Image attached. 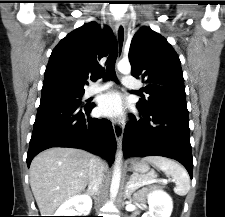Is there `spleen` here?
I'll return each mask as SVG.
<instances>
[{"label": "spleen", "instance_id": "spleen-1", "mask_svg": "<svg viewBox=\"0 0 225 217\" xmlns=\"http://www.w3.org/2000/svg\"><path fill=\"white\" fill-rule=\"evenodd\" d=\"M152 163L157 169L171 176L176 183L174 192L177 195L185 196L190 190V178L183 166L176 161L162 156H148L144 159Z\"/></svg>", "mask_w": 225, "mask_h": 217}]
</instances>
